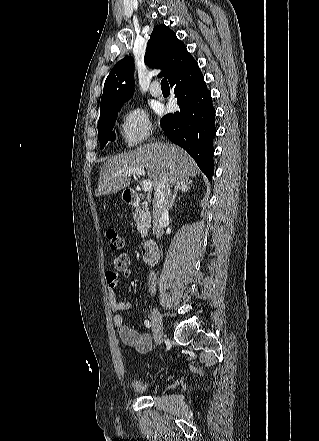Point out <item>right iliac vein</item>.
Wrapping results in <instances>:
<instances>
[{
	"instance_id": "obj_1",
	"label": "right iliac vein",
	"mask_w": 319,
	"mask_h": 441,
	"mask_svg": "<svg viewBox=\"0 0 319 441\" xmlns=\"http://www.w3.org/2000/svg\"><path fill=\"white\" fill-rule=\"evenodd\" d=\"M152 319V329L155 342L160 344L163 340V321L162 315L158 308L154 307L151 314Z\"/></svg>"
}]
</instances>
